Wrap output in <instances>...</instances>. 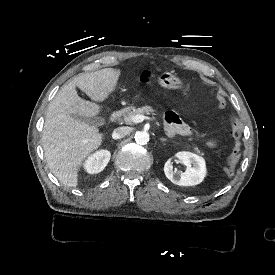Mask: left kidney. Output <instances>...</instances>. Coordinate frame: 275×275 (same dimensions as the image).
Listing matches in <instances>:
<instances>
[{
  "instance_id": "left-kidney-1",
  "label": "left kidney",
  "mask_w": 275,
  "mask_h": 275,
  "mask_svg": "<svg viewBox=\"0 0 275 275\" xmlns=\"http://www.w3.org/2000/svg\"><path fill=\"white\" fill-rule=\"evenodd\" d=\"M175 159L182 161L186 166V171L180 177L173 173L171 162ZM166 177L174 184L179 186H194L200 184L205 177V161L202 157L191 152L180 151L170 156L164 165Z\"/></svg>"
}]
</instances>
